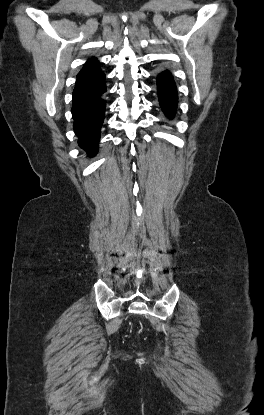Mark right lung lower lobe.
<instances>
[{"label": "right lung lower lobe", "instance_id": "98d812e1", "mask_svg": "<svg viewBox=\"0 0 264 415\" xmlns=\"http://www.w3.org/2000/svg\"><path fill=\"white\" fill-rule=\"evenodd\" d=\"M105 92L103 72L77 77L71 110L74 118V131L79 137L80 147L85 149L90 156L95 155L98 148L106 107V102L102 98Z\"/></svg>", "mask_w": 264, "mask_h": 415}]
</instances>
